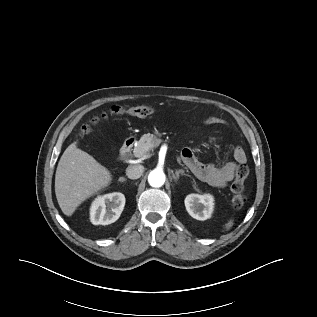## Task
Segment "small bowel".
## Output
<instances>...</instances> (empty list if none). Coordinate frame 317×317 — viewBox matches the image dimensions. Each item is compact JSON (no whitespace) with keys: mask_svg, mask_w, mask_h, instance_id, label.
<instances>
[{"mask_svg":"<svg viewBox=\"0 0 317 317\" xmlns=\"http://www.w3.org/2000/svg\"><path fill=\"white\" fill-rule=\"evenodd\" d=\"M209 125L225 124L219 117L209 116L205 119ZM182 160L195 177L218 188L228 185L236 177V170L239 165L245 164L247 156L240 146L235 147L232 160L221 165L201 162L190 148H184L181 153Z\"/></svg>","mask_w":317,"mask_h":317,"instance_id":"small-bowel-1","label":"small bowel"}]
</instances>
